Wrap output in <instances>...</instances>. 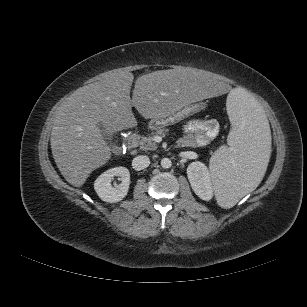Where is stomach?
Instances as JSON below:
<instances>
[{
	"instance_id": "stomach-1",
	"label": "stomach",
	"mask_w": 307,
	"mask_h": 307,
	"mask_svg": "<svg viewBox=\"0 0 307 307\" xmlns=\"http://www.w3.org/2000/svg\"><path fill=\"white\" fill-rule=\"evenodd\" d=\"M204 108H205L204 103H196V104H190V105L184 106L180 108L179 110H176L175 112L151 118L148 124V127L152 130H157V129L167 127L169 125L175 124L183 120L189 115L196 113Z\"/></svg>"
}]
</instances>
